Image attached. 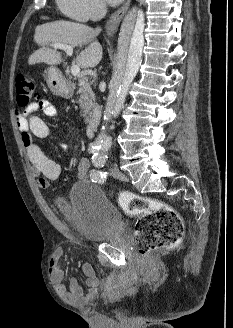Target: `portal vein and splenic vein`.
Masks as SVG:
<instances>
[{
    "label": "portal vein and splenic vein",
    "instance_id": "18ae733b",
    "mask_svg": "<svg viewBox=\"0 0 233 328\" xmlns=\"http://www.w3.org/2000/svg\"><path fill=\"white\" fill-rule=\"evenodd\" d=\"M53 46L57 49L64 50L69 56H72V54H73V47H71V46L63 45L60 43H56ZM71 73H72V75L78 76L82 79L85 78V72L81 71L80 67L78 65H73L71 67Z\"/></svg>",
    "mask_w": 233,
    "mask_h": 328
}]
</instances>
